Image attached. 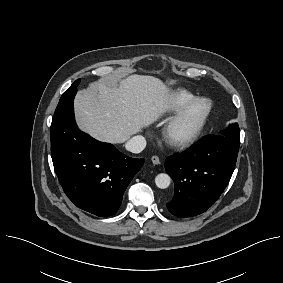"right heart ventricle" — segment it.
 Listing matches in <instances>:
<instances>
[{"label":"right heart ventricle","instance_id":"obj_1","mask_svg":"<svg viewBox=\"0 0 283 283\" xmlns=\"http://www.w3.org/2000/svg\"><path fill=\"white\" fill-rule=\"evenodd\" d=\"M194 98L195 95L185 89L174 90L166 98L162 106V112L165 114L175 113L191 102Z\"/></svg>","mask_w":283,"mask_h":283}]
</instances>
